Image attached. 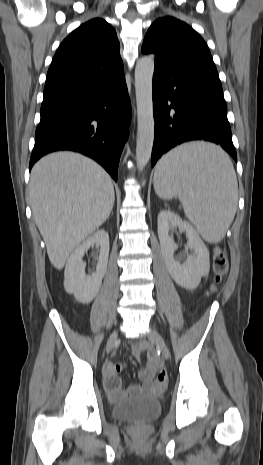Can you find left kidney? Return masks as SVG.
<instances>
[{
	"mask_svg": "<svg viewBox=\"0 0 263 465\" xmlns=\"http://www.w3.org/2000/svg\"><path fill=\"white\" fill-rule=\"evenodd\" d=\"M174 228L186 233L188 238L186 249L193 250V254L188 255L184 263L174 257V251L178 246L169 235L170 230ZM158 236L162 255L171 277L185 289L197 288L201 277L208 275L210 269L209 252L198 232L177 214L163 210L158 215Z\"/></svg>",
	"mask_w": 263,
	"mask_h": 465,
	"instance_id": "1",
	"label": "left kidney"
}]
</instances>
